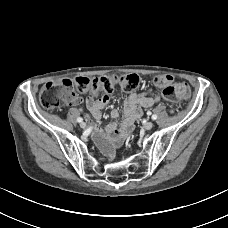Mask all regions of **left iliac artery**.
Here are the masks:
<instances>
[{
	"instance_id": "left-iliac-artery-1",
	"label": "left iliac artery",
	"mask_w": 228,
	"mask_h": 228,
	"mask_svg": "<svg viewBox=\"0 0 228 228\" xmlns=\"http://www.w3.org/2000/svg\"><path fill=\"white\" fill-rule=\"evenodd\" d=\"M152 119L153 120H156L157 119V116L156 115H152Z\"/></svg>"
}]
</instances>
